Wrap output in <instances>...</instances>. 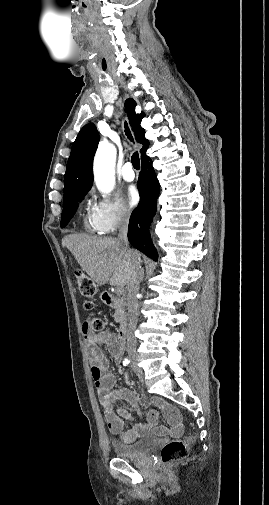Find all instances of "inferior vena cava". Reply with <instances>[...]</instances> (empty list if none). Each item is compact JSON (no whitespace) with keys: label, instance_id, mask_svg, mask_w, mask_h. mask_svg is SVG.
Wrapping results in <instances>:
<instances>
[{"label":"inferior vena cava","instance_id":"602c4592","mask_svg":"<svg viewBox=\"0 0 269 505\" xmlns=\"http://www.w3.org/2000/svg\"><path fill=\"white\" fill-rule=\"evenodd\" d=\"M118 241L123 249L129 253L131 259V278L127 284V350L129 352L136 350L137 340L135 330L138 322V301L136 298L138 292L139 279L142 277L143 269L140 266V260L131 252L129 248L127 233H128V217L121 215L118 224Z\"/></svg>","mask_w":269,"mask_h":505}]
</instances>
